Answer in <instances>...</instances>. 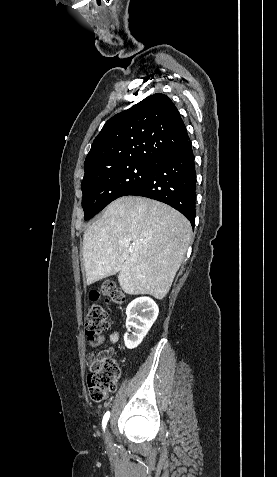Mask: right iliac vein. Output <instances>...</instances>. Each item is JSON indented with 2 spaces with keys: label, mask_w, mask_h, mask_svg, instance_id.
<instances>
[{
  "label": "right iliac vein",
  "mask_w": 277,
  "mask_h": 477,
  "mask_svg": "<svg viewBox=\"0 0 277 477\" xmlns=\"http://www.w3.org/2000/svg\"><path fill=\"white\" fill-rule=\"evenodd\" d=\"M105 440H106L107 442L110 441V437H109V434H108V433H106V435H105Z\"/></svg>",
  "instance_id": "63e3f726"
}]
</instances>
